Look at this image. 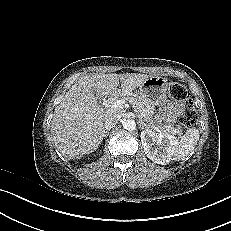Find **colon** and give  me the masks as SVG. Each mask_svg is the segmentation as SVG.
<instances>
[{"label": "colon", "instance_id": "5ec220e1", "mask_svg": "<svg viewBox=\"0 0 231 231\" xmlns=\"http://www.w3.org/2000/svg\"><path fill=\"white\" fill-rule=\"evenodd\" d=\"M168 92L173 100L180 103V123L185 127L194 126L198 116L187 88L180 83L172 82L169 85Z\"/></svg>", "mask_w": 231, "mask_h": 231}]
</instances>
